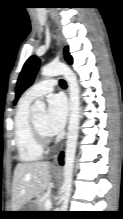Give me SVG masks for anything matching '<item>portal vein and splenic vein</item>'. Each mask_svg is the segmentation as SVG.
<instances>
[{
  "mask_svg": "<svg viewBox=\"0 0 123 219\" xmlns=\"http://www.w3.org/2000/svg\"><path fill=\"white\" fill-rule=\"evenodd\" d=\"M51 206H52V202H51L50 197H48V198L45 200V208H46V209H49V208H51Z\"/></svg>",
  "mask_w": 123,
  "mask_h": 219,
  "instance_id": "obj_1",
  "label": "portal vein and splenic vein"
}]
</instances>
